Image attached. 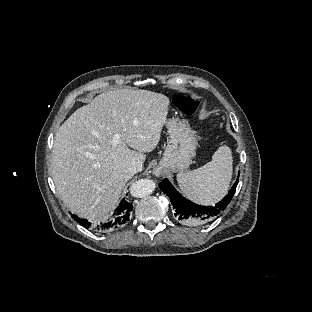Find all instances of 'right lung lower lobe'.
<instances>
[{
    "label": "right lung lower lobe",
    "instance_id": "1",
    "mask_svg": "<svg viewBox=\"0 0 312 312\" xmlns=\"http://www.w3.org/2000/svg\"><path fill=\"white\" fill-rule=\"evenodd\" d=\"M133 206L132 204L125 199H122L119 206L113 213V217L109 222L101 223L100 225L93 226L92 223L85 219H80L77 216L71 214V216L82 226L89 228L93 227V230L100 231V232H108L119 228L127 221H129L130 212L132 211Z\"/></svg>",
    "mask_w": 312,
    "mask_h": 312
}]
</instances>
